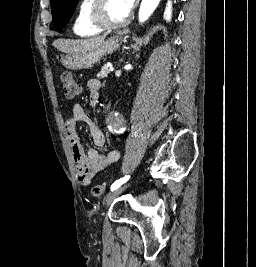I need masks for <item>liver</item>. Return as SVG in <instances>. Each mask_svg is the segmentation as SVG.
Instances as JSON below:
<instances>
[{"mask_svg": "<svg viewBox=\"0 0 256 267\" xmlns=\"http://www.w3.org/2000/svg\"><path fill=\"white\" fill-rule=\"evenodd\" d=\"M105 38L106 36H94L88 40H55L53 46L65 54H82V52H87L89 48L100 46Z\"/></svg>", "mask_w": 256, "mask_h": 267, "instance_id": "liver-1", "label": "liver"}]
</instances>
